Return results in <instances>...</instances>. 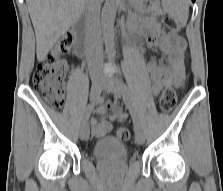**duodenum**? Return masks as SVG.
I'll list each match as a JSON object with an SVG mask.
<instances>
[{"mask_svg":"<svg viewBox=\"0 0 223 191\" xmlns=\"http://www.w3.org/2000/svg\"><path fill=\"white\" fill-rule=\"evenodd\" d=\"M73 33L79 38L80 42L78 43L77 53H85L86 46L85 40L88 36V31L83 27L81 21L77 20L73 24Z\"/></svg>","mask_w":223,"mask_h":191,"instance_id":"duodenum-1","label":"duodenum"}]
</instances>
